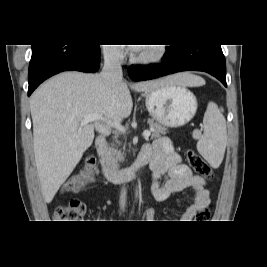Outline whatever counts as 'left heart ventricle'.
<instances>
[{
  "mask_svg": "<svg viewBox=\"0 0 267 267\" xmlns=\"http://www.w3.org/2000/svg\"><path fill=\"white\" fill-rule=\"evenodd\" d=\"M152 49H153V47H145V48H143V49L141 50L140 53L150 52V51H152Z\"/></svg>",
  "mask_w": 267,
  "mask_h": 267,
  "instance_id": "left-heart-ventricle-1",
  "label": "left heart ventricle"
}]
</instances>
